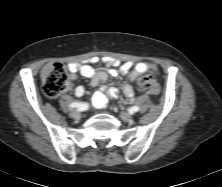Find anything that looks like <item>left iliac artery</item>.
<instances>
[{"mask_svg":"<svg viewBox=\"0 0 222 187\" xmlns=\"http://www.w3.org/2000/svg\"><path fill=\"white\" fill-rule=\"evenodd\" d=\"M138 111H139V107H137V106H133V107L129 108V113H131V114L138 112Z\"/></svg>","mask_w":222,"mask_h":187,"instance_id":"1","label":"left iliac artery"}]
</instances>
